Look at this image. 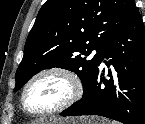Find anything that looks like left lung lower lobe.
Returning a JSON list of instances; mask_svg holds the SVG:
<instances>
[{"label":"left lung lower lobe","instance_id":"obj_1","mask_svg":"<svg viewBox=\"0 0 145 124\" xmlns=\"http://www.w3.org/2000/svg\"><path fill=\"white\" fill-rule=\"evenodd\" d=\"M104 58L109 59L104 61L107 67L112 64L118 73V84L110 69V80L104 69H98L83 97L61 115H99L124 124H145V27L136 6Z\"/></svg>","mask_w":145,"mask_h":124}]
</instances>
